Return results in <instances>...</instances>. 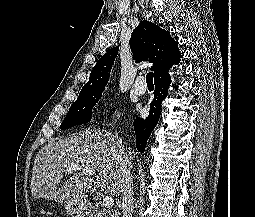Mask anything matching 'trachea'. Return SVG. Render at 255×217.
Wrapping results in <instances>:
<instances>
[{
	"label": "trachea",
	"mask_w": 255,
	"mask_h": 217,
	"mask_svg": "<svg viewBox=\"0 0 255 217\" xmlns=\"http://www.w3.org/2000/svg\"><path fill=\"white\" fill-rule=\"evenodd\" d=\"M146 83L148 85H153V73L152 72L147 73V75H146Z\"/></svg>",
	"instance_id": "3493384b"
}]
</instances>
